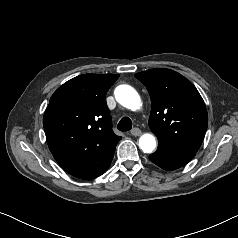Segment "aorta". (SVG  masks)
Masks as SVG:
<instances>
[{
  "label": "aorta",
  "mask_w": 238,
  "mask_h": 238,
  "mask_svg": "<svg viewBox=\"0 0 238 238\" xmlns=\"http://www.w3.org/2000/svg\"><path fill=\"white\" fill-rule=\"evenodd\" d=\"M116 101L127 109L138 110L141 106V98L137 91L129 85H119L114 91ZM139 148L144 153H152L156 148L154 135L145 133L139 138Z\"/></svg>",
  "instance_id": "obj_1"
}]
</instances>
